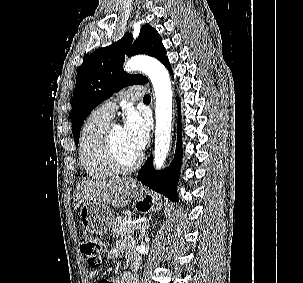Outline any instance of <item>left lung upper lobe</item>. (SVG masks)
I'll use <instances>...</instances> for the list:
<instances>
[{
	"label": "left lung upper lobe",
	"instance_id": "left-lung-upper-lobe-1",
	"mask_svg": "<svg viewBox=\"0 0 303 283\" xmlns=\"http://www.w3.org/2000/svg\"><path fill=\"white\" fill-rule=\"evenodd\" d=\"M126 54H146L165 66L169 63L161 36L149 24L142 26L133 44L131 33H126L119 41L91 53L77 72L72 99V132L76 145L84 120L97 105L123 87L148 82L143 75L124 72Z\"/></svg>",
	"mask_w": 303,
	"mask_h": 283
}]
</instances>
